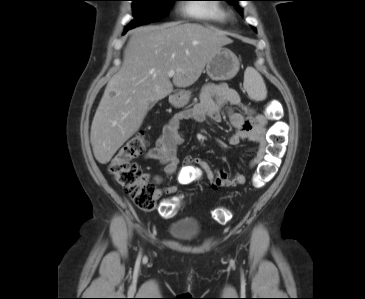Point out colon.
<instances>
[{
	"label": "colon",
	"mask_w": 365,
	"mask_h": 299,
	"mask_svg": "<svg viewBox=\"0 0 365 299\" xmlns=\"http://www.w3.org/2000/svg\"><path fill=\"white\" fill-rule=\"evenodd\" d=\"M268 117L278 119L280 108L277 103H271ZM286 124L277 120L269 132L267 154L253 177V185L260 188L272 180L281 163L286 145ZM147 148V141L143 131L137 132L129 138L114 154L108 164L109 174L114 181L131 197L134 203L144 211H151L156 207V186L141 173L134 159ZM180 208L176 200H166L160 206L162 215L169 217ZM214 219L225 223L231 218V212L226 208H215L212 212Z\"/></svg>",
	"instance_id": "colon-1"
}]
</instances>
